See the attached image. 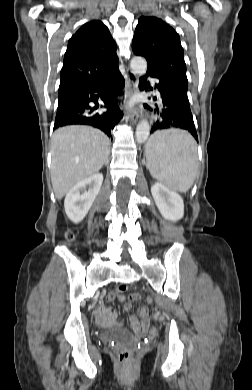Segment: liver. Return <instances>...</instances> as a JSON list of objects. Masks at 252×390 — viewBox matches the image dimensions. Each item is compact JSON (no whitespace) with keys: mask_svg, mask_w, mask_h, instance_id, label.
Listing matches in <instances>:
<instances>
[{"mask_svg":"<svg viewBox=\"0 0 252 390\" xmlns=\"http://www.w3.org/2000/svg\"><path fill=\"white\" fill-rule=\"evenodd\" d=\"M110 140L90 126L59 128L51 140V181L60 200L81 180L97 173L109 155Z\"/></svg>","mask_w":252,"mask_h":390,"instance_id":"liver-1","label":"liver"}]
</instances>
